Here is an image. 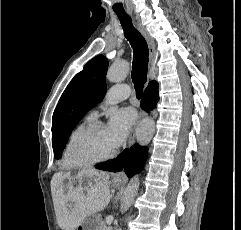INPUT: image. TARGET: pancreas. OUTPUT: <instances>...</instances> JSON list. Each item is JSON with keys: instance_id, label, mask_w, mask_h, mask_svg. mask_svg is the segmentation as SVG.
<instances>
[{"instance_id": "1", "label": "pancreas", "mask_w": 241, "mask_h": 230, "mask_svg": "<svg viewBox=\"0 0 241 230\" xmlns=\"http://www.w3.org/2000/svg\"><path fill=\"white\" fill-rule=\"evenodd\" d=\"M98 230H112V229L106 226L105 222H101Z\"/></svg>"}]
</instances>
